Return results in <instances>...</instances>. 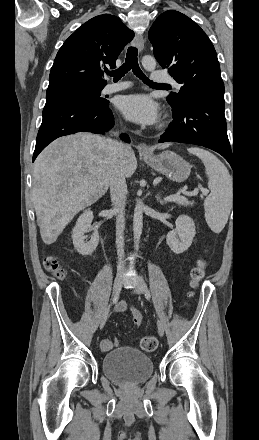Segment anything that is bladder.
<instances>
[{
    "label": "bladder",
    "instance_id": "obj_1",
    "mask_svg": "<svg viewBox=\"0 0 259 440\" xmlns=\"http://www.w3.org/2000/svg\"><path fill=\"white\" fill-rule=\"evenodd\" d=\"M102 371L113 382L133 386L146 382L153 374L152 359L144 352L130 347L114 349L102 358Z\"/></svg>",
    "mask_w": 259,
    "mask_h": 440
}]
</instances>
